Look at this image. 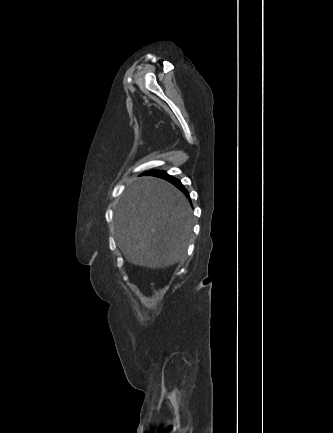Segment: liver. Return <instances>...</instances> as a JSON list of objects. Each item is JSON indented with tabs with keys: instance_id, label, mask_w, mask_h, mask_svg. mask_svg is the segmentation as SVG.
<instances>
[{
	"instance_id": "6515ba94",
	"label": "liver",
	"mask_w": 333,
	"mask_h": 433,
	"mask_svg": "<svg viewBox=\"0 0 333 433\" xmlns=\"http://www.w3.org/2000/svg\"><path fill=\"white\" fill-rule=\"evenodd\" d=\"M185 195L155 177L134 178L114 214L115 238L133 264L162 268L185 257L192 230Z\"/></svg>"
}]
</instances>
